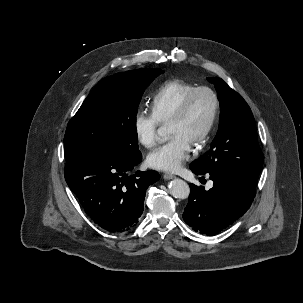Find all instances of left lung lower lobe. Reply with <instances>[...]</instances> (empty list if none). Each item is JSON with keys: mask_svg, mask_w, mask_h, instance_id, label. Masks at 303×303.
<instances>
[{"mask_svg": "<svg viewBox=\"0 0 303 303\" xmlns=\"http://www.w3.org/2000/svg\"><path fill=\"white\" fill-rule=\"evenodd\" d=\"M196 175H210L213 187L190 185L189 202L183 219L196 232L214 235L240 218L256 195V186L244 178L211 170L207 173L190 167Z\"/></svg>", "mask_w": 303, "mask_h": 303, "instance_id": "1", "label": "left lung lower lobe"}]
</instances>
